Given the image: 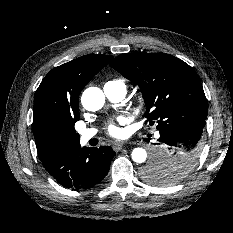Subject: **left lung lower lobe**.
<instances>
[{"instance_id": "1", "label": "left lung lower lobe", "mask_w": 233, "mask_h": 233, "mask_svg": "<svg viewBox=\"0 0 233 233\" xmlns=\"http://www.w3.org/2000/svg\"><path fill=\"white\" fill-rule=\"evenodd\" d=\"M204 123L175 122L159 129L160 137L154 145L158 151L152 161L174 166L181 158L198 161L202 147ZM149 141V140H148Z\"/></svg>"}]
</instances>
